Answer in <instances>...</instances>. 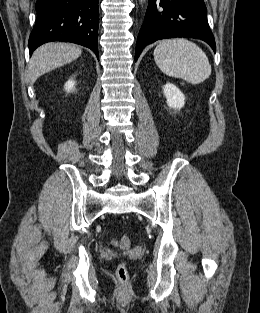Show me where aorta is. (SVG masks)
Returning <instances> with one entry per match:
<instances>
[{"mask_svg": "<svg viewBox=\"0 0 260 313\" xmlns=\"http://www.w3.org/2000/svg\"><path fill=\"white\" fill-rule=\"evenodd\" d=\"M144 0H140V2L142 3Z\"/></svg>", "mask_w": 260, "mask_h": 313, "instance_id": "762f6f07", "label": "aorta"}]
</instances>
